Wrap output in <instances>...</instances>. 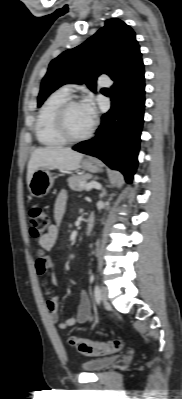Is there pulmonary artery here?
Segmentation results:
<instances>
[{"mask_svg": "<svg viewBox=\"0 0 182 399\" xmlns=\"http://www.w3.org/2000/svg\"><path fill=\"white\" fill-rule=\"evenodd\" d=\"M99 83L102 86H109L111 82H110L109 79H100ZM62 89L67 91V92H70L72 90V85H70V84L64 85L62 87Z\"/></svg>", "mask_w": 182, "mask_h": 399, "instance_id": "obj_1", "label": "pulmonary artery"}]
</instances>
